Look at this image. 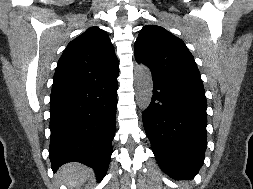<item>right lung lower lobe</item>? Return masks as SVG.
Segmentation results:
<instances>
[{
    "label": "right lung lower lobe",
    "mask_w": 253,
    "mask_h": 189,
    "mask_svg": "<svg viewBox=\"0 0 253 189\" xmlns=\"http://www.w3.org/2000/svg\"><path fill=\"white\" fill-rule=\"evenodd\" d=\"M117 77L52 87L49 156L54 172L76 161L92 167L98 182L104 178L115 133Z\"/></svg>",
    "instance_id": "1"
}]
</instances>
